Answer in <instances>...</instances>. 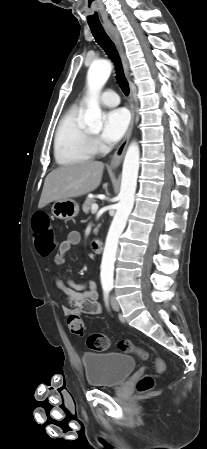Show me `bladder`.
<instances>
[{
  "instance_id": "31cf9c89",
  "label": "bladder",
  "mask_w": 207,
  "mask_h": 449,
  "mask_svg": "<svg viewBox=\"0 0 207 449\" xmlns=\"http://www.w3.org/2000/svg\"><path fill=\"white\" fill-rule=\"evenodd\" d=\"M82 364L89 386L115 387L135 370V359L118 352L84 353Z\"/></svg>"
}]
</instances>
